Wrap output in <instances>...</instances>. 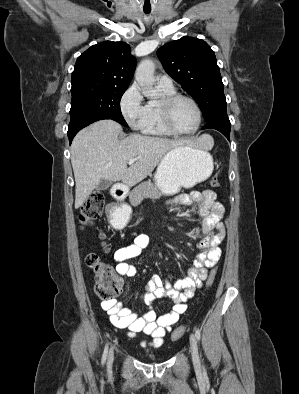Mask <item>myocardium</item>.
<instances>
[{
	"label": "myocardium",
	"instance_id": "myocardium-1",
	"mask_svg": "<svg viewBox=\"0 0 299 394\" xmlns=\"http://www.w3.org/2000/svg\"><path fill=\"white\" fill-rule=\"evenodd\" d=\"M179 100H187L188 102H190L193 105V107L196 110L197 123H196V126L194 127V129H192L190 131H180L173 124L172 109H173L174 105ZM158 108H159L161 122H162L164 128L173 135H179V136L191 135V134L196 133L201 126V123H202L201 109H200L198 103L190 96L183 95V94H174L172 96L164 97L159 102Z\"/></svg>",
	"mask_w": 299,
	"mask_h": 394
}]
</instances>
